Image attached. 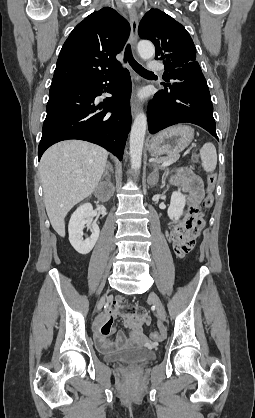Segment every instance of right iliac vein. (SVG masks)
Instances as JSON below:
<instances>
[{
	"label": "right iliac vein",
	"instance_id": "obj_1",
	"mask_svg": "<svg viewBox=\"0 0 255 418\" xmlns=\"http://www.w3.org/2000/svg\"><path fill=\"white\" fill-rule=\"evenodd\" d=\"M105 300H106V296H105V297H103V298L99 301L98 306H97V310H98V311H99V310H101V308L103 307V305H104V303H105Z\"/></svg>",
	"mask_w": 255,
	"mask_h": 418
}]
</instances>
